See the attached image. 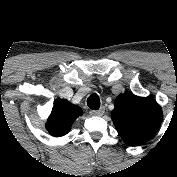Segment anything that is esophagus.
Masks as SVG:
<instances>
[{
	"mask_svg": "<svg viewBox=\"0 0 177 177\" xmlns=\"http://www.w3.org/2000/svg\"><path fill=\"white\" fill-rule=\"evenodd\" d=\"M104 112H105V108H104V107H101V108L98 109V110H91V111H90V114H91L92 116H102V115L104 114Z\"/></svg>",
	"mask_w": 177,
	"mask_h": 177,
	"instance_id": "34e87169",
	"label": "esophagus"
}]
</instances>
